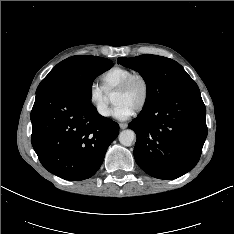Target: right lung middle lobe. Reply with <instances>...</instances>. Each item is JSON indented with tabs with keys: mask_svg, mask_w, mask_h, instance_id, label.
Returning <instances> with one entry per match:
<instances>
[{
	"mask_svg": "<svg viewBox=\"0 0 234 234\" xmlns=\"http://www.w3.org/2000/svg\"><path fill=\"white\" fill-rule=\"evenodd\" d=\"M113 62L97 56H72L57 64L39 84L36 95L43 92L66 91L90 103L91 85Z\"/></svg>",
	"mask_w": 234,
	"mask_h": 234,
	"instance_id": "obj_1",
	"label": "right lung middle lobe"
}]
</instances>
